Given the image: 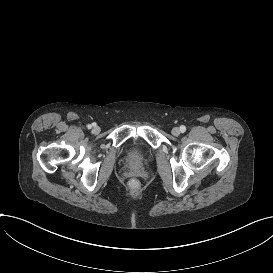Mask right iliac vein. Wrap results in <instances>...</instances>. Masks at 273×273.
Returning <instances> with one entry per match:
<instances>
[{
  "instance_id": "obj_1",
  "label": "right iliac vein",
  "mask_w": 273,
  "mask_h": 273,
  "mask_svg": "<svg viewBox=\"0 0 273 273\" xmlns=\"http://www.w3.org/2000/svg\"><path fill=\"white\" fill-rule=\"evenodd\" d=\"M92 130H93L94 133L98 134L100 132V127L99 126H94L92 128Z\"/></svg>"
}]
</instances>
